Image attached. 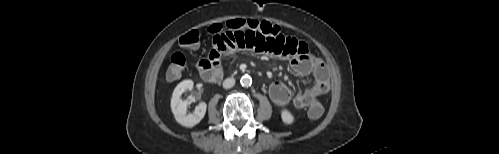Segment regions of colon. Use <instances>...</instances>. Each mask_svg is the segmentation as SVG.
Masks as SVG:
<instances>
[{"mask_svg": "<svg viewBox=\"0 0 499 154\" xmlns=\"http://www.w3.org/2000/svg\"><path fill=\"white\" fill-rule=\"evenodd\" d=\"M252 29L260 31L263 34L277 36L281 34L279 26L274 25L264 20L254 19H233L225 24H213L208 28L209 33L217 35L225 30H242ZM199 43V33L195 30L185 33L179 40V44L183 48H195ZM186 66V58L183 53L176 52L171 58L167 67L166 76L170 80H176L181 77ZM324 108L321 103L315 101L308 109V116L311 119H318L322 116Z\"/></svg>", "mask_w": 499, "mask_h": 154, "instance_id": "colon-1", "label": "colon"}]
</instances>
